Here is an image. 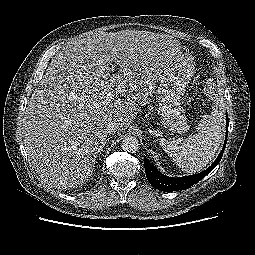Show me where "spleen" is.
I'll return each instance as SVG.
<instances>
[{
	"instance_id": "obj_1",
	"label": "spleen",
	"mask_w": 255,
	"mask_h": 255,
	"mask_svg": "<svg viewBox=\"0 0 255 255\" xmlns=\"http://www.w3.org/2000/svg\"><path fill=\"white\" fill-rule=\"evenodd\" d=\"M223 137V112L214 111L201 120L200 131L189 136L183 143L161 138L160 145L182 171L195 173L214 159Z\"/></svg>"
}]
</instances>
